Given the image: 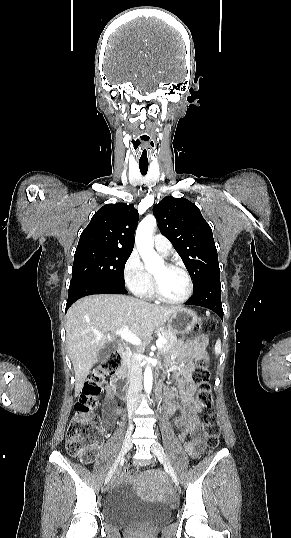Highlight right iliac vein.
Returning <instances> with one entry per match:
<instances>
[{"instance_id":"1","label":"right iliac vein","mask_w":291,"mask_h":538,"mask_svg":"<svg viewBox=\"0 0 291 538\" xmlns=\"http://www.w3.org/2000/svg\"><path fill=\"white\" fill-rule=\"evenodd\" d=\"M132 431H133V425L130 424L129 427H128V431L126 433V436H125V439L123 441V445H122V449L120 451V454L118 456V458L116 459V461L114 462L113 466L111 467L106 479H105V484H107L113 473L115 472V470L117 469V466L120 462V460L124 457V455L130 450L131 446H132V442H131V435H132Z\"/></svg>"}]
</instances>
